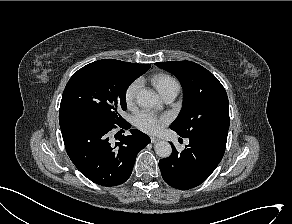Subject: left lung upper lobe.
Masks as SVG:
<instances>
[{
    "label": "left lung upper lobe",
    "instance_id": "left-lung-upper-lobe-1",
    "mask_svg": "<svg viewBox=\"0 0 292 224\" xmlns=\"http://www.w3.org/2000/svg\"><path fill=\"white\" fill-rule=\"evenodd\" d=\"M183 88V108L170 125L181 137L226 143L230 124L226 91L207 69L191 61L158 62Z\"/></svg>",
    "mask_w": 292,
    "mask_h": 224
}]
</instances>
